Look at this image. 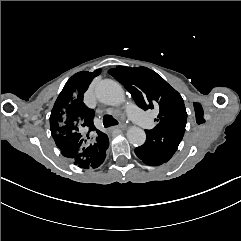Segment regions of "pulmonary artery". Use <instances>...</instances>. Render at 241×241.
<instances>
[{
  "label": "pulmonary artery",
  "instance_id": "e3ab8cb5",
  "mask_svg": "<svg viewBox=\"0 0 241 241\" xmlns=\"http://www.w3.org/2000/svg\"><path fill=\"white\" fill-rule=\"evenodd\" d=\"M126 113L129 115L130 119L140 126H145L150 121L149 114L142 110L139 104L135 101H130L125 107Z\"/></svg>",
  "mask_w": 241,
  "mask_h": 241
}]
</instances>
